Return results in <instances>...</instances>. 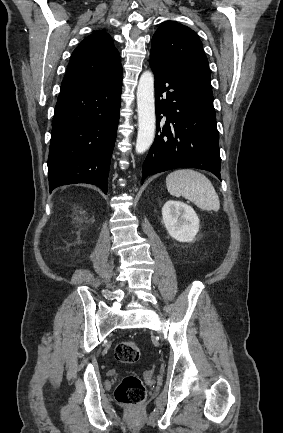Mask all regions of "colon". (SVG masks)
<instances>
[{
    "label": "colon",
    "mask_w": 283,
    "mask_h": 433,
    "mask_svg": "<svg viewBox=\"0 0 283 433\" xmlns=\"http://www.w3.org/2000/svg\"><path fill=\"white\" fill-rule=\"evenodd\" d=\"M139 357L140 349L134 341H123L115 348V358L123 364L133 365L138 362ZM115 397L120 403L136 406L145 398V387L137 376L129 375L118 385Z\"/></svg>",
    "instance_id": "obj_1"
}]
</instances>
